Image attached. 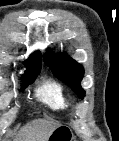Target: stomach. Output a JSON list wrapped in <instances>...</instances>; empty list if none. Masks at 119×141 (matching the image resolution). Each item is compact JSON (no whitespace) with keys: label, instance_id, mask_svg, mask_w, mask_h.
<instances>
[{"label":"stomach","instance_id":"0dacf381","mask_svg":"<svg viewBox=\"0 0 119 141\" xmlns=\"http://www.w3.org/2000/svg\"><path fill=\"white\" fill-rule=\"evenodd\" d=\"M71 129L65 125L58 126L49 136L48 141H73Z\"/></svg>","mask_w":119,"mask_h":141}]
</instances>
